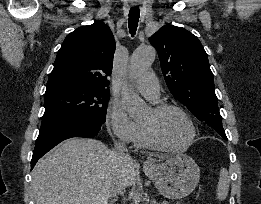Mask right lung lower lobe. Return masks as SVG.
I'll use <instances>...</instances> for the list:
<instances>
[{
    "label": "right lung lower lobe",
    "instance_id": "1",
    "mask_svg": "<svg viewBox=\"0 0 261 204\" xmlns=\"http://www.w3.org/2000/svg\"><path fill=\"white\" fill-rule=\"evenodd\" d=\"M103 123L85 118L58 120L41 125L31 160V169L37 161L57 144L72 137H94Z\"/></svg>",
    "mask_w": 261,
    "mask_h": 204
}]
</instances>
